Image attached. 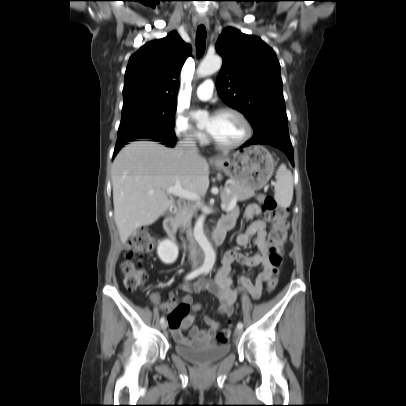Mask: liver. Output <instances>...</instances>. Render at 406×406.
Returning <instances> with one entry per match:
<instances>
[{"label": "liver", "mask_w": 406, "mask_h": 406, "mask_svg": "<svg viewBox=\"0 0 406 406\" xmlns=\"http://www.w3.org/2000/svg\"><path fill=\"white\" fill-rule=\"evenodd\" d=\"M175 185L205 194L206 159L153 141L131 142L117 154L112 165L114 220L123 244L137 228L153 224L174 204L164 190Z\"/></svg>", "instance_id": "obj_1"}]
</instances>
